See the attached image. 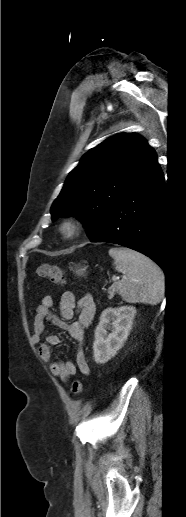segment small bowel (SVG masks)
<instances>
[{
  "label": "small bowel",
  "instance_id": "1",
  "mask_svg": "<svg viewBox=\"0 0 186 517\" xmlns=\"http://www.w3.org/2000/svg\"><path fill=\"white\" fill-rule=\"evenodd\" d=\"M53 308L54 299L50 295L44 296L41 304L36 308L32 340L39 345V357L42 361L49 364L51 374L64 382H67L71 376L75 375L77 369L83 375H89L90 367L82 350V345L85 341V329L91 324L96 312L93 297L90 294H86L76 300L74 293L64 292L60 298L58 316L52 312ZM76 311L78 312V319L68 323L67 321L74 317ZM46 322H51L66 331L78 344L79 348L76 353L75 363L72 361H51V347L58 345L60 338L56 334H48L45 342H41Z\"/></svg>",
  "mask_w": 186,
  "mask_h": 517
}]
</instances>
